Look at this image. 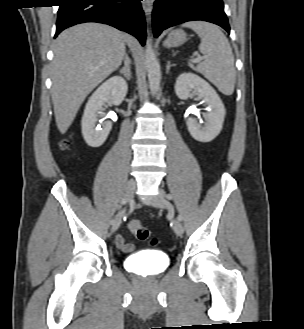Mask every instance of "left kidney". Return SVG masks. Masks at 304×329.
I'll list each match as a JSON object with an SVG mask.
<instances>
[{
    "label": "left kidney",
    "instance_id": "1",
    "mask_svg": "<svg viewBox=\"0 0 304 329\" xmlns=\"http://www.w3.org/2000/svg\"><path fill=\"white\" fill-rule=\"evenodd\" d=\"M175 93L183 100L198 96L204 99L210 109L204 126L198 124L195 118H188L187 127L191 136L203 143L217 137L222 130L226 110L213 87L194 73H182L176 80Z\"/></svg>",
    "mask_w": 304,
    "mask_h": 329
}]
</instances>
